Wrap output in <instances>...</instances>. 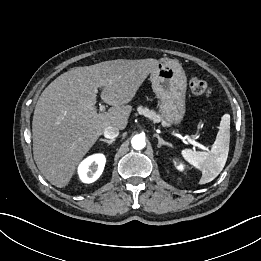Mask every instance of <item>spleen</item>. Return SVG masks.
I'll use <instances>...</instances> for the list:
<instances>
[{"mask_svg": "<svg viewBox=\"0 0 261 261\" xmlns=\"http://www.w3.org/2000/svg\"><path fill=\"white\" fill-rule=\"evenodd\" d=\"M230 143V116L222 117L216 140L210 152L183 149V158L202 172L199 184L214 180L223 170L227 161Z\"/></svg>", "mask_w": 261, "mask_h": 261, "instance_id": "1", "label": "spleen"}]
</instances>
